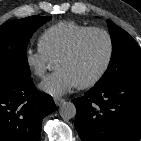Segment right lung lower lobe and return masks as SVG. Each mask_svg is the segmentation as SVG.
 <instances>
[{"label":"right lung lower lobe","mask_w":141,"mask_h":141,"mask_svg":"<svg viewBox=\"0 0 141 141\" xmlns=\"http://www.w3.org/2000/svg\"><path fill=\"white\" fill-rule=\"evenodd\" d=\"M55 108L31 77L0 80V141H39L42 120Z\"/></svg>","instance_id":"98d812e1"}]
</instances>
